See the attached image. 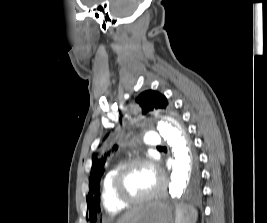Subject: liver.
Returning <instances> with one entry per match:
<instances>
[{
  "mask_svg": "<svg viewBox=\"0 0 267 223\" xmlns=\"http://www.w3.org/2000/svg\"><path fill=\"white\" fill-rule=\"evenodd\" d=\"M139 211V207H135L131 209L130 211L126 212L117 223H125L128 221L131 217H133L137 212Z\"/></svg>",
  "mask_w": 267,
  "mask_h": 223,
  "instance_id": "1",
  "label": "liver"
}]
</instances>
